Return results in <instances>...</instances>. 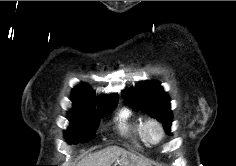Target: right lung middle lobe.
<instances>
[{
	"mask_svg": "<svg viewBox=\"0 0 236 166\" xmlns=\"http://www.w3.org/2000/svg\"><path fill=\"white\" fill-rule=\"evenodd\" d=\"M115 106L100 110L101 115H97L98 112L93 109L73 107L68 113L70 126L65 134L67 142L77 144L94 138L101 116L112 112Z\"/></svg>",
	"mask_w": 236,
	"mask_h": 166,
	"instance_id": "obj_1",
	"label": "right lung middle lobe"
}]
</instances>
